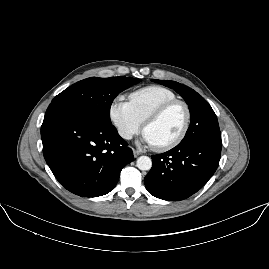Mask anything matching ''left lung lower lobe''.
I'll return each instance as SVG.
<instances>
[{
	"label": "left lung lower lobe",
	"instance_id": "left-lung-lower-lobe-1",
	"mask_svg": "<svg viewBox=\"0 0 269 269\" xmlns=\"http://www.w3.org/2000/svg\"><path fill=\"white\" fill-rule=\"evenodd\" d=\"M221 148V140L205 138L152 155V168L144 179L146 189L163 200L188 198L216 171Z\"/></svg>",
	"mask_w": 269,
	"mask_h": 269
}]
</instances>
